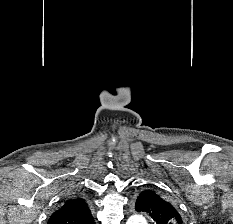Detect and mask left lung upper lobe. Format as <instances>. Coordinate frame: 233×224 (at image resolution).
<instances>
[{"mask_svg":"<svg viewBox=\"0 0 233 224\" xmlns=\"http://www.w3.org/2000/svg\"><path fill=\"white\" fill-rule=\"evenodd\" d=\"M137 212H146L154 224H185L177 205L158 191H142L136 200Z\"/></svg>","mask_w":233,"mask_h":224,"instance_id":"left-lung-upper-lobe-1","label":"left lung upper lobe"}]
</instances>
